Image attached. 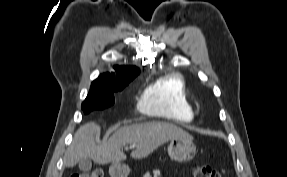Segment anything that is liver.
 Returning <instances> with one entry per match:
<instances>
[{
  "label": "liver",
  "instance_id": "liver-1",
  "mask_svg": "<svg viewBox=\"0 0 287 177\" xmlns=\"http://www.w3.org/2000/svg\"><path fill=\"white\" fill-rule=\"evenodd\" d=\"M99 133L100 126L94 122L84 124L77 130L65 155L64 164L66 167H73L84 158L92 159L101 165L120 163L126 160L122 148L127 144L134 145L131 157L142 159L169 140L192 138L182 128L159 121L121 127L107 141L100 144L96 142Z\"/></svg>",
  "mask_w": 287,
  "mask_h": 177
}]
</instances>
